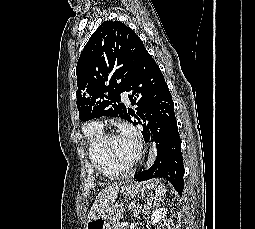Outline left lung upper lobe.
I'll return each mask as SVG.
<instances>
[{"label":"left lung upper lobe","mask_w":255,"mask_h":229,"mask_svg":"<svg viewBox=\"0 0 255 229\" xmlns=\"http://www.w3.org/2000/svg\"><path fill=\"white\" fill-rule=\"evenodd\" d=\"M141 39L119 21L103 22L82 51L77 67V108L79 119L102 116L127 119L126 107L119 103L145 51Z\"/></svg>","instance_id":"1"}]
</instances>
